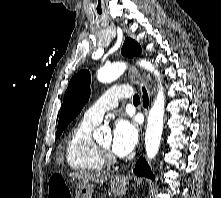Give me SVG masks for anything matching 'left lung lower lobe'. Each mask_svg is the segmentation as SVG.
<instances>
[{"label": "left lung lower lobe", "instance_id": "1", "mask_svg": "<svg viewBox=\"0 0 221 198\" xmlns=\"http://www.w3.org/2000/svg\"><path fill=\"white\" fill-rule=\"evenodd\" d=\"M143 92H144L143 105L145 107H147L148 106V96H147L145 88H143ZM134 172L138 176H145V177H150V178L154 179V176L150 170V167L146 163L145 159H143V157H141L138 160V162L136 163V168H135Z\"/></svg>", "mask_w": 221, "mask_h": 198}]
</instances>
